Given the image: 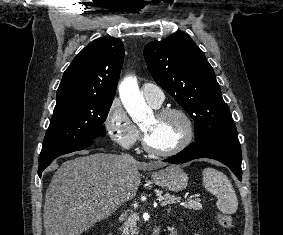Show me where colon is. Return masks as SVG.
Listing matches in <instances>:
<instances>
[{"instance_id":"5ec220e1","label":"colon","mask_w":283,"mask_h":235,"mask_svg":"<svg viewBox=\"0 0 283 235\" xmlns=\"http://www.w3.org/2000/svg\"><path fill=\"white\" fill-rule=\"evenodd\" d=\"M218 223L225 229H230L233 226L232 217L226 213L219 212L216 216Z\"/></svg>"}]
</instances>
